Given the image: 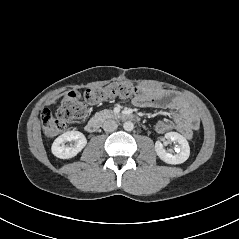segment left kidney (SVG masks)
<instances>
[{
    "label": "left kidney",
    "mask_w": 239,
    "mask_h": 239,
    "mask_svg": "<svg viewBox=\"0 0 239 239\" xmlns=\"http://www.w3.org/2000/svg\"><path fill=\"white\" fill-rule=\"evenodd\" d=\"M165 138L172 142H177L179 144L177 154L168 153L160 141L155 143V151L158 157L168 164H181L184 163L190 155L189 143L185 137L177 132H168L165 134Z\"/></svg>",
    "instance_id": "obj_1"
}]
</instances>
